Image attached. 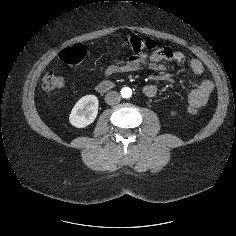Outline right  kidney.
Listing matches in <instances>:
<instances>
[{
    "label": "right kidney",
    "instance_id": "ca27d5eb",
    "mask_svg": "<svg viewBox=\"0 0 236 236\" xmlns=\"http://www.w3.org/2000/svg\"><path fill=\"white\" fill-rule=\"evenodd\" d=\"M98 99L95 95L82 97L73 107L69 122L76 128H84L94 122L98 114Z\"/></svg>",
    "mask_w": 236,
    "mask_h": 236
}]
</instances>
